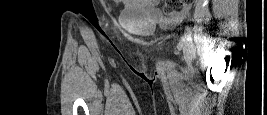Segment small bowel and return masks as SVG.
<instances>
[{
  "label": "small bowel",
  "mask_w": 267,
  "mask_h": 115,
  "mask_svg": "<svg viewBox=\"0 0 267 115\" xmlns=\"http://www.w3.org/2000/svg\"><path fill=\"white\" fill-rule=\"evenodd\" d=\"M126 6L131 9H143L154 18H161L159 9L157 8L159 0H127ZM185 14V10L173 16V19H181Z\"/></svg>",
  "instance_id": "1"
}]
</instances>
